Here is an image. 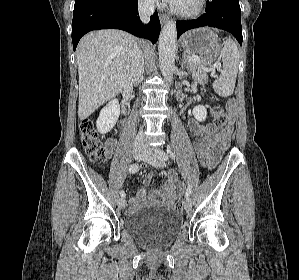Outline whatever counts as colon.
I'll return each mask as SVG.
<instances>
[{
    "label": "colon",
    "mask_w": 299,
    "mask_h": 280,
    "mask_svg": "<svg viewBox=\"0 0 299 280\" xmlns=\"http://www.w3.org/2000/svg\"><path fill=\"white\" fill-rule=\"evenodd\" d=\"M229 107H233L234 103L230 101L228 103ZM213 115V124L216 129H221L227 120V115L225 111L216 106L212 110ZM80 142L82 147L84 148L87 156L93 162H101L105 158V149L102 146L100 141L99 133L96 130L94 123L90 120H85L80 125ZM201 164L203 167L208 168L210 165V157L209 155H203L200 158ZM174 208L181 212L183 209L182 201H177L174 205Z\"/></svg>",
    "instance_id": "obj_1"
}]
</instances>
